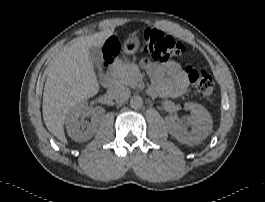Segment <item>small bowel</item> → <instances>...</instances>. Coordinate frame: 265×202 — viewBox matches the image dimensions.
Segmentation results:
<instances>
[{
    "label": "small bowel",
    "instance_id": "obj_1",
    "mask_svg": "<svg viewBox=\"0 0 265 202\" xmlns=\"http://www.w3.org/2000/svg\"><path fill=\"white\" fill-rule=\"evenodd\" d=\"M143 69L151 78L149 92L153 95L180 96L187 90V76L175 61L156 64L149 60L141 62Z\"/></svg>",
    "mask_w": 265,
    "mask_h": 202
}]
</instances>
